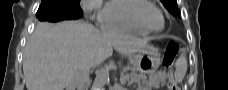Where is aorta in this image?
Here are the masks:
<instances>
[{
  "label": "aorta",
  "mask_w": 228,
  "mask_h": 90,
  "mask_svg": "<svg viewBox=\"0 0 228 90\" xmlns=\"http://www.w3.org/2000/svg\"><path fill=\"white\" fill-rule=\"evenodd\" d=\"M109 81V70L107 68L100 69L95 78V87L100 89Z\"/></svg>",
  "instance_id": "aorta-1"
}]
</instances>
